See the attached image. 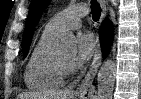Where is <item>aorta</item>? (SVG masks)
I'll list each match as a JSON object with an SVG mask.
<instances>
[{"label":"aorta","instance_id":"1","mask_svg":"<svg viewBox=\"0 0 141 99\" xmlns=\"http://www.w3.org/2000/svg\"><path fill=\"white\" fill-rule=\"evenodd\" d=\"M116 7L117 0H111ZM75 38L66 35L61 38L60 46L63 49H73L75 47ZM116 64L112 60H107L101 66L97 75V99H112V93L115 83Z\"/></svg>","mask_w":141,"mask_h":99}]
</instances>
